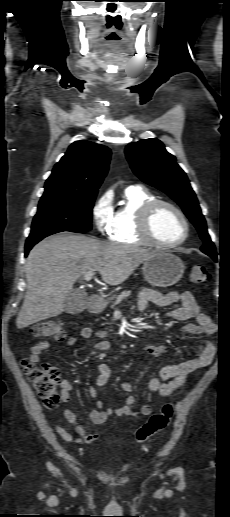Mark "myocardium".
<instances>
[{"mask_svg":"<svg viewBox=\"0 0 230 517\" xmlns=\"http://www.w3.org/2000/svg\"><path fill=\"white\" fill-rule=\"evenodd\" d=\"M161 206H166L172 209L182 220L184 225V234L180 240L166 243L158 240L154 236L152 230V219L156 210ZM138 226L139 233L142 236V238L148 241L150 244L160 248H174L180 246L187 240L190 232L189 221L186 215L183 213V211L174 203L160 199H154L142 207L139 213Z\"/></svg>","mask_w":230,"mask_h":517,"instance_id":"myocardium-1","label":"myocardium"}]
</instances>
